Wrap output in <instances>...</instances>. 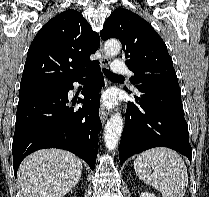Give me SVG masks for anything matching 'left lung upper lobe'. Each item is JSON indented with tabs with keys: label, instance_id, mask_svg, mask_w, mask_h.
Masks as SVG:
<instances>
[{
	"label": "left lung upper lobe",
	"instance_id": "obj_1",
	"mask_svg": "<svg viewBox=\"0 0 209 197\" xmlns=\"http://www.w3.org/2000/svg\"><path fill=\"white\" fill-rule=\"evenodd\" d=\"M101 38H118L134 72L131 82L143 85L179 87L167 46L152 26L139 15L123 8L116 9L105 21Z\"/></svg>",
	"mask_w": 209,
	"mask_h": 197
}]
</instances>
